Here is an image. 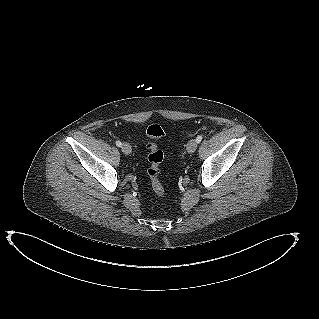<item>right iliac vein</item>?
Instances as JSON below:
<instances>
[{
    "label": "right iliac vein",
    "mask_w": 319,
    "mask_h": 319,
    "mask_svg": "<svg viewBox=\"0 0 319 319\" xmlns=\"http://www.w3.org/2000/svg\"><path fill=\"white\" fill-rule=\"evenodd\" d=\"M121 149L123 151L124 154L128 155L132 152V148L131 146L128 144V143H124L122 146H121Z\"/></svg>",
    "instance_id": "1"
}]
</instances>
